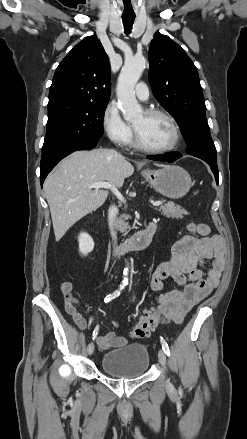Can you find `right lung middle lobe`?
Returning a JSON list of instances; mask_svg holds the SVG:
<instances>
[{"label": "right lung middle lobe", "instance_id": "1", "mask_svg": "<svg viewBox=\"0 0 247 439\" xmlns=\"http://www.w3.org/2000/svg\"><path fill=\"white\" fill-rule=\"evenodd\" d=\"M106 103L61 101L48 105L47 131L42 153L87 142L103 135Z\"/></svg>", "mask_w": 247, "mask_h": 439}]
</instances>
